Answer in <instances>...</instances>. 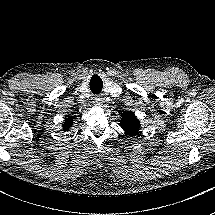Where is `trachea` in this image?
<instances>
[{
    "instance_id": "3493384b",
    "label": "trachea",
    "mask_w": 215,
    "mask_h": 215,
    "mask_svg": "<svg viewBox=\"0 0 215 215\" xmlns=\"http://www.w3.org/2000/svg\"><path fill=\"white\" fill-rule=\"evenodd\" d=\"M90 86L93 94L100 93L103 87L102 80L99 77L94 76L90 81Z\"/></svg>"
}]
</instances>
